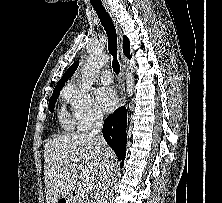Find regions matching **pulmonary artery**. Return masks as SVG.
<instances>
[{
	"instance_id": "e3ab8cb5",
	"label": "pulmonary artery",
	"mask_w": 222,
	"mask_h": 203,
	"mask_svg": "<svg viewBox=\"0 0 222 203\" xmlns=\"http://www.w3.org/2000/svg\"><path fill=\"white\" fill-rule=\"evenodd\" d=\"M99 79L102 84H110L113 80V77L110 71L103 70L100 73Z\"/></svg>"
}]
</instances>
